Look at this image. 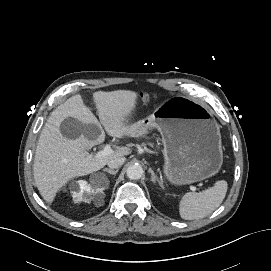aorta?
Masks as SVG:
<instances>
[{"label": "aorta", "instance_id": "1", "mask_svg": "<svg viewBox=\"0 0 271 271\" xmlns=\"http://www.w3.org/2000/svg\"><path fill=\"white\" fill-rule=\"evenodd\" d=\"M126 172L129 179L138 180L143 175V168L139 164H133L127 168Z\"/></svg>", "mask_w": 271, "mask_h": 271}]
</instances>
